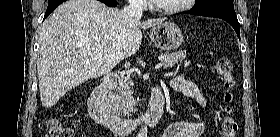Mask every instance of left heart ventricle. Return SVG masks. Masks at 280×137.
Instances as JSON below:
<instances>
[{
  "label": "left heart ventricle",
  "instance_id": "left-heart-ventricle-1",
  "mask_svg": "<svg viewBox=\"0 0 280 137\" xmlns=\"http://www.w3.org/2000/svg\"><path fill=\"white\" fill-rule=\"evenodd\" d=\"M156 2L161 6L173 7L179 5L181 0H156Z\"/></svg>",
  "mask_w": 280,
  "mask_h": 137
}]
</instances>
